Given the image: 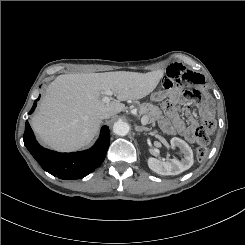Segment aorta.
Returning <instances> with one entry per match:
<instances>
[{"label": "aorta", "instance_id": "1", "mask_svg": "<svg viewBox=\"0 0 245 245\" xmlns=\"http://www.w3.org/2000/svg\"><path fill=\"white\" fill-rule=\"evenodd\" d=\"M130 130L129 124L123 121H117L113 125V132L119 136H125Z\"/></svg>", "mask_w": 245, "mask_h": 245}]
</instances>
